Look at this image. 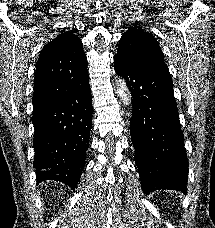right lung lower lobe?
<instances>
[{
  "mask_svg": "<svg viewBox=\"0 0 215 228\" xmlns=\"http://www.w3.org/2000/svg\"><path fill=\"white\" fill-rule=\"evenodd\" d=\"M92 109L86 75L69 82L63 96L32 113L37 184L54 180L77 187L89 146Z\"/></svg>",
  "mask_w": 215,
  "mask_h": 228,
  "instance_id": "obj_1",
  "label": "right lung lower lobe"
}]
</instances>
